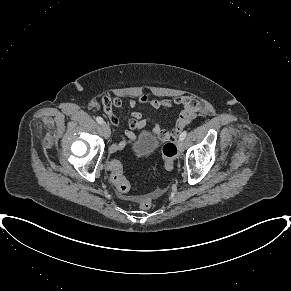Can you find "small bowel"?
I'll return each instance as SVG.
<instances>
[{
	"mask_svg": "<svg viewBox=\"0 0 291 291\" xmlns=\"http://www.w3.org/2000/svg\"><path fill=\"white\" fill-rule=\"evenodd\" d=\"M149 105L155 109H171L174 105L181 106L182 111L175 123L174 128L171 130L164 129L160 124L154 123V128L152 132L159 136L162 141H173L175 140L182 129H184L196 115L202 110L201 103L191 96H181L174 100L163 98H151L147 94L141 93L136 99H130L128 102L129 108L132 110L130 112V119L127 122L128 129L124 132L122 139L114 142L109 147L110 153H115L121 151L128 140H136V134L134 130L142 129L145 127L148 119L143 116L142 113L135 111L137 104ZM102 109L106 114L107 118L113 125L119 124V119L114 112V108L120 109L123 105L121 98L115 97L110 98L109 96H104L101 98Z\"/></svg>",
	"mask_w": 291,
	"mask_h": 291,
	"instance_id": "1",
	"label": "small bowel"
}]
</instances>
